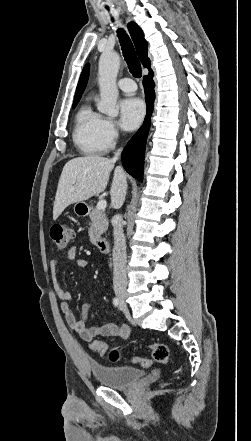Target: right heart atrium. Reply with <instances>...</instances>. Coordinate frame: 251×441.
Segmentation results:
<instances>
[{
    "mask_svg": "<svg viewBox=\"0 0 251 441\" xmlns=\"http://www.w3.org/2000/svg\"><path fill=\"white\" fill-rule=\"evenodd\" d=\"M102 133L107 143L111 146L118 137V129L115 123L110 119H104Z\"/></svg>",
    "mask_w": 251,
    "mask_h": 441,
    "instance_id": "d8ad5b80",
    "label": "right heart atrium"
}]
</instances>
